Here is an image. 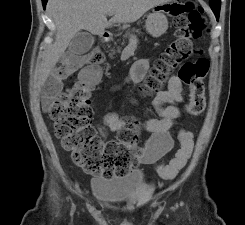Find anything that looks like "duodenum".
<instances>
[{
	"label": "duodenum",
	"instance_id": "obj_1",
	"mask_svg": "<svg viewBox=\"0 0 245 225\" xmlns=\"http://www.w3.org/2000/svg\"><path fill=\"white\" fill-rule=\"evenodd\" d=\"M111 39V34L107 31L102 32L98 35V40L101 44H106L110 41Z\"/></svg>",
	"mask_w": 245,
	"mask_h": 225
}]
</instances>
